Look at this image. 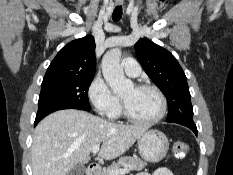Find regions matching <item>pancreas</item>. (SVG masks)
I'll return each instance as SVG.
<instances>
[{
  "instance_id": "obj_1",
  "label": "pancreas",
  "mask_w": 233,
  "mask_h": 175,
  "mask_svg": "<svg viewBox=\"0 0 233 175\" xmlns=\"http://www.w3.org/2000/svg\"><path fill=\"white\" fill-rule=\"evenodd\" d=\"M146 165L147 163L138 157L124 156L119 158L118 162L113 163L108 169L103 170L100 175H109L110 170H118L121 169V167L127 168L129 171L142 170Z\"/></svg>"
}]
</instances>
